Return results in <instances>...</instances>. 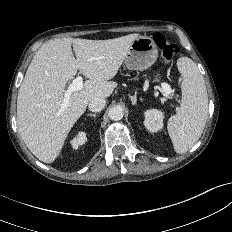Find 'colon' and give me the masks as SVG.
I'll use <instances>...</instances> for the list:
<instances>
[{
    "label": "colon",
    "instance_id": "colon-1",
    "mask_svg": "<svg viewBox=\"0 0 232 232\" xmlns=\"http://www.w3.org/2000/svg\"><path fill=\"white\" fill-rule=\"evenodd\" d=\"M153 39L165 61L170 62L177 56L179 52L177 45L169 42L163 34L156 33Z\"/></svg>",
    "mask_w": 232,
    "mask_h": 232
}]
</instances>
